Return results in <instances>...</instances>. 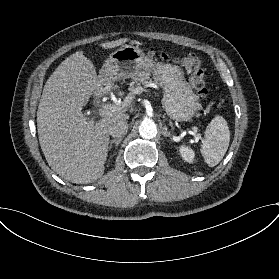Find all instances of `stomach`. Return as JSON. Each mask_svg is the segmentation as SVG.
I'll return each mask as SVG.
<instances>
[{
	"label": "stomach",
	"instance_id": "0dacf381",
	"mask_svg": "<svg viewBox=\"0 0 279 279\" xmlns=\"http://www.w3.org/2000/svg\"><path fill=\"white\" fill-rule=\"evenodd\" d=\"M141 69L151 72L163 89L162 105L167 115L178 122L190 121L201 108L199 97L185 80L183 70L173 64L155 62L143 50L124 45L109 55L100 75L115 80L133 78Z\"/></svg>",
	"mask_w": 279,
	"mask_h": 279
}]
</instances>
